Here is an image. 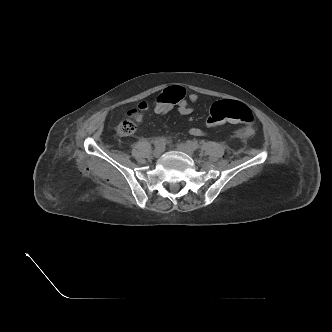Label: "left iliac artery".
I'll return each mask as SVG.
<instances>
[{"label":"left iliac artery","mask_w":332,"mask_h":332,"mask_svg":"<svg viewBox=\"0 0 332 332\" xmlns=\"http://www.w3.org/2000/svg\"><path fill=\"white\" fill-rule=\"evenodd\" d=\"M187 144H189L194 150L198 149V144L194 141H188Z\"/></svg>","instance_id":"left-iliac-artery-1"}]
</instances>
